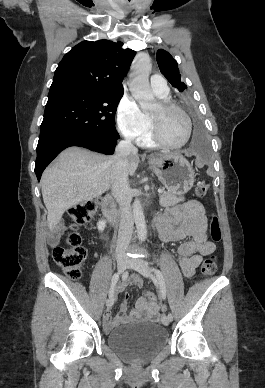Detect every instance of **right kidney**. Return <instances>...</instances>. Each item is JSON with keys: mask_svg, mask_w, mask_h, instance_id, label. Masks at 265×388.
I'll list each match as a JSON object with an SVG mask.
<instances>
[{"mask_svg": "<svg viewBox=\"0 0 265 388\" xmlns=\"http://www.w3.org/2000/svg\"><path fill=\"white\" fill-rule=\"evenodd\" d=\"M97 228H98L99 232H103L104 228H106L105 220H100V222H98V224H97Z\"/></svg>", "mask_w": 265, "mask_h": 388, "instance_id": "1", "label": "right kidney"}]
</instances>
